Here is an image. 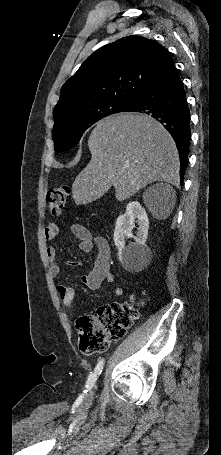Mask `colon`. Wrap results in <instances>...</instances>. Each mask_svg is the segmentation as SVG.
<instances>
[{
	"label": "colon",
	"mask_w": 221,
	"mask_h": 455,
	"mask_svg": "<svg viewBox=\"0 0 221 455\" xmlns=\"http://www.w3.org/2000/svg\"><path fill=\"white\" fill-rule=\"evenodd\" d=\"M70 195L67 185H59L47 193L46 207L53 215H59ZM139 316L134 300L111 303L99 307L95 313L77 319L80 333L79 347L83 353L101 352L114 340L122 339Z\"/></svg>",
	"instance_id": "colon-1"
}]
</instances>
